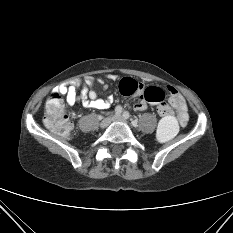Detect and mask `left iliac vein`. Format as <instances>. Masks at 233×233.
Listing matches in <instances>:
<instances>
[{
  "mask_svg": "<svg viewBox=\"0 0 233 233\" xmlns=\"http://www.w3.org/2000/svg\"><path fill=\"white\" fill-rule=\"evenodd\" d=\"M113 121H125V119L122 116H115Z\"/></svg>",
  "mask_w": 233,
  "mask_h": 233,
  "instance_id": "left-iliac-vein-1",
  "label": "left iliac vein"
}]
</instances>
